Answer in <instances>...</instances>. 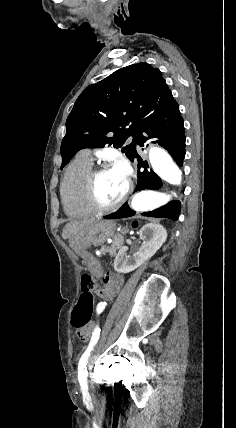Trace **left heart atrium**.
Masks as SVG:
<instances>
[{
  "mask_svg": "<svg viewBox=\"0 0 236 428\" xmlns=\"http://www.w3.org/2000/svg\"><path fill=\"white\" fill-rule=\"evenodd\" d=\"M122 165H125L122 161H116L115 163H114V166L116 167V168H118V167H120V166H122Z\"/></svg>",
  "mask_w": 236,
  "mask_h": 428,
  "instance_id": "1",
  "label": "left heart atrium"
}]
</instances>
